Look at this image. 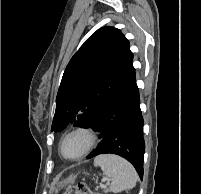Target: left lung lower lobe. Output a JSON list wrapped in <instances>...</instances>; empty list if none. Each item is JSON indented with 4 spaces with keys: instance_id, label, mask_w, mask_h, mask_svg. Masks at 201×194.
Wrapping results in <instances>:
<instances>
[{
    "instance_id": "0a47b994",
    "label": "left lung lower lobe",
    "mask_w": 201,
    "mask_h": 194,
    "mask_svg": "<svg viewBox=\"0 0 201 194\" xmlns=\"http://www.w3.org/2000/svg\"><path fill=\"white\" fill-rule=\"evenodd\" d=\"M143 125L135 69L132 67L88 126L100 132L102 138L88 158L106 153L119 155L135 167L142 179L145 151Z\"/></svg>"
}]
</instances>
